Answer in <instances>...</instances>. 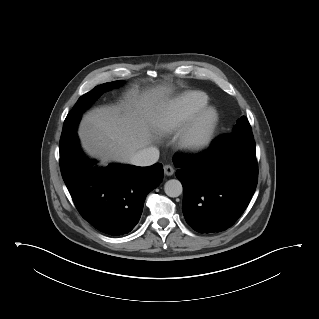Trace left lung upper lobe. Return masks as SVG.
Returning <instances> with one entry per match:
<instances>
[{
	"instance_id": "1",
	"label": "left lung upper lobe",
	"mask_w": 319,
	"mask_h": 319,
	"mask_svg": "<svg viewBox=\"0 0 319 319\" xmlns=\"http://www.w3.org/2000/svg\"><path fill=\"white\" fill-rule=\"evenodd\" d=\"M230 135H238L253 138L251 126L249 124L248 119L245 116L238 119Z\"/></svg>"
}]
</instances>
